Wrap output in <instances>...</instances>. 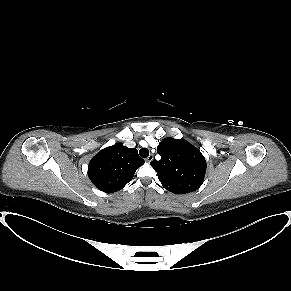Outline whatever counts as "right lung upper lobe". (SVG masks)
<instances>
[{
  "instance_id": "right-lung-upper-lobe-1",
  "label": "right lung upper lobe",
  "mask_w": 291,
  "mask_h": 291,
  "mask_svg": "<svg viewBox=\"0 0 291 291\" xmlns=\"http://www.w3.org/2000/svg\"><path fill=\"white\" fill-rule=\"evenodd\" d=\"M144 163L136 148L117 143L102 149L90 160L88 176L98 189L113 193L124 188Z\"/></svg>"
}]
</instances>
